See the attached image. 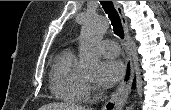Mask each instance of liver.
Instances as JSON below:
<instances>
[{"mask_svg": "<svg viewBox=\"0 0 171 110\" xmlns=\"http://www.w3.org/2000/svg\"><path fill=\"white\" fill-rule=\"evenodd\" d=\"M39 110H85L84 108L69 103H49L40 107Z\"/></svg>", "mask_w": 171, "mask_h": 110, "instance_id": "liver-1", "label": "liver"}]
</instances>
